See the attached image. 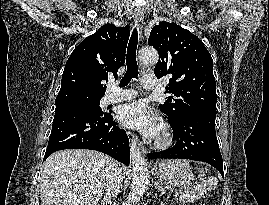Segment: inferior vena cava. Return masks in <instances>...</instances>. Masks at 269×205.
<instances>
[{
	"instance_id": "1",
	"label": "inferior vena cava",
	"mask_w": 269,
	"mask_h": 205,
	"mask_svg": "<svg viewBox=\"0 0 269 205\" xmlns=\"http://www.w3.org/2000/svg\"><path fill=\"white\" fill-rule=\"evenodd\" d=\"M121 182L122 170L118 167V164L115 161H112L108 168L105 183V193L103 201L106 205L111 203V199L119 194Z\"/></svg>"
}]
</instances>
